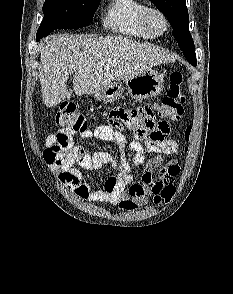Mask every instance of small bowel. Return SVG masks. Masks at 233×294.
Here are the masks:
<instances>
[{"label":"small bowel","mask_w":233,"mask_h":294,"mask_svg":"<svg viewBox=\"0 0 233 294\" xmlns=\"http://www.w3.org/2000/svg\"><path fill=\"white\" fill-rule=\"evenodd\" d=\"M160 111L152 104H139V108H115L109 113V121L94 130L81 133L84 138H96L118 144L122 156H112L103 149H84L73 147L66 155L49 157L48 151L54 144L55 135L48 137L44 157L55 171L59 181L73 190L80 198L96 203H107L122 210H136L148 203L164 187H173L180 172L175 159H165V155L175 154L178 150L176 141L168 138L170 120H154ZM127 126L132 142H128L121 130ZM139 141H144L141 144ZM129 148L133 152H125ZM158 155L148 161L141 182H133L131 166L145 164V154ZM130 157V158H128ZM118 161H121L118 163ZM104 165L119 168L116 175L108 178L98 189H92L82 180L80 169L94 170ZM160 169L158 178L153 176L155 169Z\"/></svg>","instance_id":"small-bowel-1"}]
</instances>
